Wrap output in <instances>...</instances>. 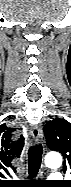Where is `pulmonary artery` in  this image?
Returning <instances> with one entry per match:
<instances>
[{"instance_id": "pulmonary-artery-1", "label": "pulmonary artery", "mask_w": 71, "mask_h": 187, "mask_svg": "<svg viewBox=\"0 0 71 187\" xmlns=\"http://www.w3.org/2000/svg\"><path fill=\"white\" fill-rule=\"evenodd\" d=\"M61 178L60 174L59 173H52L50 176H49V179L53 180V179H59Z\"/></svg>"}]
</instances>
